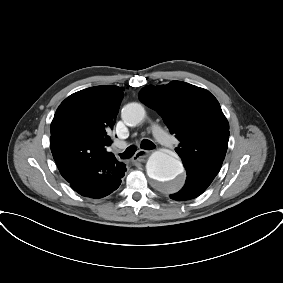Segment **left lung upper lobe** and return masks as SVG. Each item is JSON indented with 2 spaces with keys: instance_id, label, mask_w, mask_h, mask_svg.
<instances>
[{
  "instance_id": "5c2ea615",
  "label": "left lung upper lobe",
  "mask_w": 283,
  "mask_h": 283,
  "mask_svg": "<svg viewBox=\"0 0 283 283\" xmlns=\"http://www.w3.org/2000/svg\"><path fill=\"white\" fill-rule=\"evenodd\" d=\"M140 100L156 110L180 141L175 149L186 173L214 179L228 147L229 124L207 90L181 81L144 87Z\"/></svg>"
}]
</instances>
